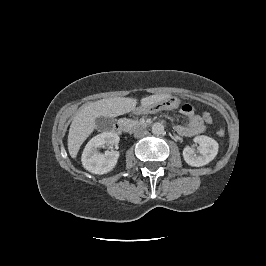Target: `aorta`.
<instances>
[{"mask_svg":"<svg viewBox=\"0 0 266 266\" xmlns=\"http://www.w3.org/2000/svg\"><path fill=\"white\" fill-rule=\"evenodd\" d=\"M164 132V126L162 123H154L152 125V133L156 135H160Z\"/></svg>","mask_w":266,"mask_h":266,"instance_id":"762f6f07","label":"aorta"}]
</instances>
